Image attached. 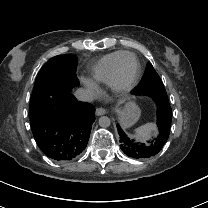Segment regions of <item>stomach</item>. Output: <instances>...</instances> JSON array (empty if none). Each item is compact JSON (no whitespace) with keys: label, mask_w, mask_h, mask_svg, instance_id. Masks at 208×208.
I'll list each match as a JSON object with an SVG mask.
<instances>
[{"label":"stomach","mask_w":208,"mask_h":208,"mask_svg":"<svg viewBox=\"0 0 208 208\" xmlns=\"http://www.w3.org/2000/svg\"><path fill=\"white\" fill-rule=\"evenodd\" d=\"M139 116L136 104L128 103L121 109V122L127 127L133 124Z\"/></svg>","instance_id":"stomach-1"}]
</instances>
